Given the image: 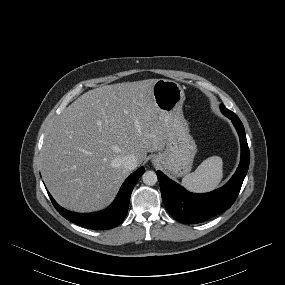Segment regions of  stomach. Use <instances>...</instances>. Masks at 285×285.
<instances>
[{
    "label": "stomach",
    "instance_id": "0dacf381",
    "mask_svg": "<svg viewBox=\"0 0 285 285\" xmlns=\"http://www.w3.org/2000/svg\"><path fill=\"white\" fill-rule=\"evenodd\" d=\"M153 98L166 134L164 151L153 161L174 176H183L191 171L197 153V145L189 134L182 112L184 90L175 81L158 79L153 86Z\"/></svg>",
    "mask_w": 285,
    "mask_h": 285
}]
</instances>
